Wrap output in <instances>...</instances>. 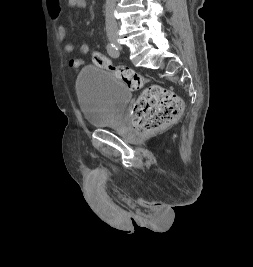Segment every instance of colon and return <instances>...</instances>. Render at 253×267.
<instances>
[{"label": "colon", "mask_w": 253, "mask_h": 267, "mask_svg": "<svg viewBox=\"0 0 253 267\" xmlns=\"http://www.w3.org/2000/svg\"><path fill=\"white\" fill-rule=\"evenodd\" d=\"M89 46H79L81 54H88ZM93 62L112 73L117 79L127 84L132 90H140L145 85V78L132 69L112 63L100 52L93 54ZM81 61L71 60L70 66L77 67ZM183 110L182 100L171 91L158 85L146 87L132 111V123L141 135L159 131L179 118Z\"/></svg>", "instance_id": "5ec220e1"}]
</instances>
